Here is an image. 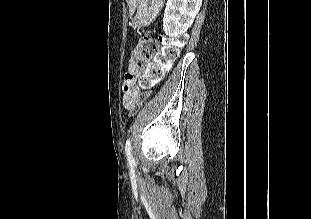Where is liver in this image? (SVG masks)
Segmentation results:
<instances>
[{"mask_svg": "<svg viewBox=\"0 0 311 219\" xmlns=\"http://www.w3.org/2000/svg\"><path fill=\"white\" fill-rule=\"evenodd\" d=\"M128 2H129V3H134V4H135V3H138L139 0H128Z\"/></svg>", "mask_w": 311, "mask_h": 219, "instance_id": "obj_1", "label": "liver"}]
</instances>
